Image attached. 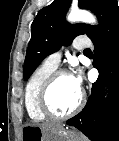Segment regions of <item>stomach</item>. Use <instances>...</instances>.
<instances>
[{
  "mask_svg": "<svg viewBox=\"0 0 119 141\" xmlns=\"http://www.w3.org/2000/svg\"><path fill=\"white\" fill-rule=\"evenodd\" d=\"M21 141H83L82 137L63 127L59 129L43 128L37 125H25L21 132Z\"/></svg>",
  "mask_w": 119,
  "mask_h": 141,
  "instance_id": "obj_1",
  "label": "stomach"
}]
</instances>
